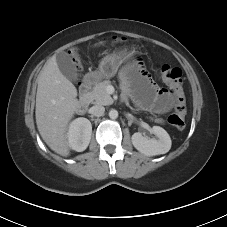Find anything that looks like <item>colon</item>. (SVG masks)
Listing matches in <instances>:
<instances>
[{
	"instance_id": "colon-1",
	"label": "colon",
	"mask_w": 227,
	"mask_h": 227,
	"mask_svg": "<svg viewBox=\"0 0 227 227\" xmlns=\"http://www.w3.org/2000/svg\"><path fill=\"white\" fill-rule=\"evenodd\" d=\"M117 41L120 39H116ZM161 77L170 87L175 98L174 112L168 117V123L176 129H183L185 126V97L182 83V71L170 65H163L161 68Z\"/></svg>"
}]
</instances>
